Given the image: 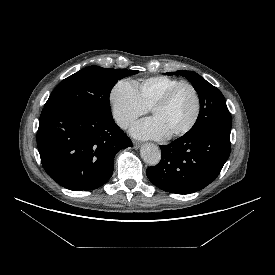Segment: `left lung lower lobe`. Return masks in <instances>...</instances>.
Returning a JSON list of instances; mask_svg holds the SVG:
<instances>
[{
    "instance_id": "1",
    "label": "left lung lower lobe",
    "mask_w": 275,
    "mask_h": 275,
    "mask_svg": "<svg viewBox=\"0 0 275 275\" xmlns=\"http://www.w3.org/2000/svg\"><path fill=\"white\" fill-rule=\"evenodd\" d=\"M158 165L146 170L158 188L176 194H190L213 182L227 161L230 129H207L186 133L168 145H161Z\"/></svg>"
}]
</instances>
